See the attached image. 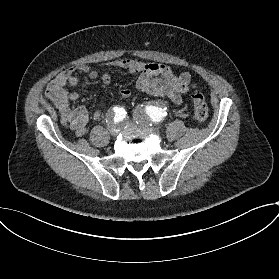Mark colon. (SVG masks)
I'll return each instance as SVG.
<instances>
[{"label":"colon","mask_w":279,"mask_h":279,"mask_svg":"<svg viewBox=\"0 0 279 279\" xmlns=\"http://www.w3.org/2000/svg\"><path fill=\"white\" fill-rule=\"evenodd\" d=\"M194 116L199 122H204L208 118V107L205 96L200 89H195L192 93Z\"/></svg>","instance_id":"colon-1"}]
</instances>
